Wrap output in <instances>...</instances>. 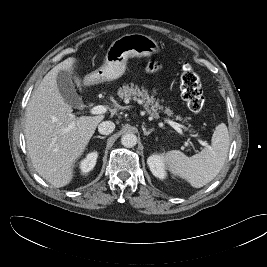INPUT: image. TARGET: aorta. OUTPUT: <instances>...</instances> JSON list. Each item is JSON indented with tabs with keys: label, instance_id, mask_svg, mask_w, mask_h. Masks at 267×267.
<instances>
[{
	"label": "aorta",
	"instance_id": "762f6f07",
	"mask_svg": "<svg viewBox=\"0 0 267 267\" xmlns=\"http://www.w3.org/2000/svg\"><path fill=\"white\" fill-rule=\"evenodd\" d=\"M121 143L124 147L132 148L137 144V137L132 133H126L121 137Z\"/></svg>",
	"mask_w": 267,
	"mask_h": 267
}]
</instances>
